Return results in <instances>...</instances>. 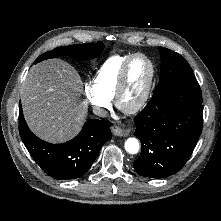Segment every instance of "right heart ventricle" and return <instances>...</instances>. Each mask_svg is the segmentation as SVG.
<instances>
[{
    "instance_id": "1",
    "label": "right heart ventricle",
    "mask_w": 221,
    "mask_h": 221,
    "mask_svg": "<svg viewBox=\"0 0 221 221\" xmlns=\"http://www.w3.org/2000/svg\"><path fill=\"white\" fill-rule=\"evenodd\" d=\"M131 55H113L99 67L94 76L93 84L101 94L110 99L114 98L121 69Z\"/></svg>"
}]
</instances>
